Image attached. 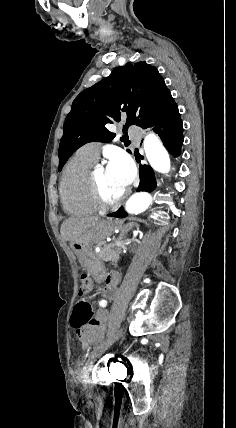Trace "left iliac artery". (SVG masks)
Instances as JSON below:
<instances>
[{"label":"left iliac artery","mask_w":236,"mask_h":428,"mask_svg":"<svg viewBox=\"0 0 236 428\" xmlns=\"http://www.w3.org/2000/svg\"><path fill=\"white\" fill-rule=\"evenodd\" d=\"M106 304H107V301H105V300H102V301L100 302V305H101V306H103V307H105V306H106Z\"/></svg>","instance_id":"obj_1"}]
</instances>
